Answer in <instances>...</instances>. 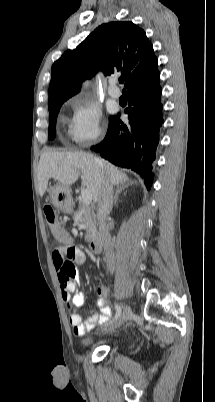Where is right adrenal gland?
Returning <instances> with one entry per match:
<instances>
[{"instance_id":"right-adrenal-gland-1","label":"right adrenal gland","mask_w":215,"mask_h":402,"mask_svg":"<svg viewBox=\"0 0 215 402\" xmlns=\"http://www.w3.org/2000/svg\"><path fill=\"white\" fill-rule=\"evenodd\" d=\"M133 182H127V183H121L120 185L117 186L116 191H115V195H114V205L117 204L118 202V196L119 194L125 190L126 188H128V186L132 185Z\"/></svg>"}]
</instances>
